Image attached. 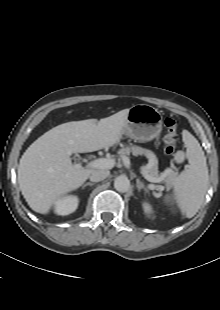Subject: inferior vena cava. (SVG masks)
I'll use <instances>...</instances> for the list:
<instances>
[{
    "label": "inferior vena cava",
    "instance_id": "obj_1",
    "mask_svg": "<svg viewBox=\"0 0 220 310\" xmlns=\"http://www.w3.org/2000/svg\"><path fill=\"white\" fill-rule=\"evenodd\" d=\"M109 175V171L107 170H94L89 176L92 182H99L107 178Z\"/></svg>",
    "mask_w": 220,
    "mask_h": 310
}]
</instances>
